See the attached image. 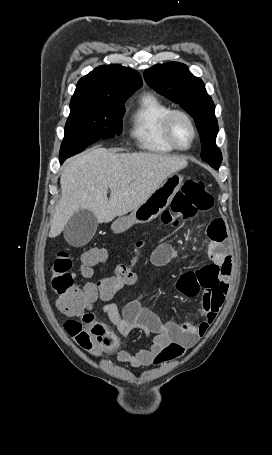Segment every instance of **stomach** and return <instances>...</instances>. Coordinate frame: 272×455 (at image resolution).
<instances>
[{
	"label": "stomach",
	"instance_id": "stomach-1",
	"mask_svg": "<svg viewBox=\"0 0 272 455\" xmlns=\"http://www.w3.org/2000/svg\"><path fill=\"white\" fill-rule=\"evenodd\" d=\"M183 176L179 173L170 175L139 207L128 216L118 218L112 229L114 233H122L133 224L148 223L157 218L171 203L175 194L183 184Z\"/></svg>",
	"mask_w": 272,
	"mask_h": 455
}]
</instances>
